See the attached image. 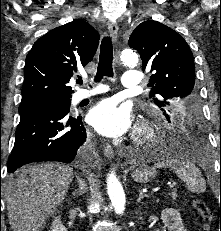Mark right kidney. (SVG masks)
<instances>
[{"instance_id": "ca27d5eb", "label": "right kidney", "mask_w": 221, "mask_h": 231, "mask_svg": "<svg viewBox=\"0 0 221 231\" xmlns=\"http://www.w3.org/2000/svg\"><path fill=\"white\" fill-rule=\"evenodd\" d=\"M50 231H67L65 226L61 223L60 216L54 217Z\"/></svg>"}]
</instances>
